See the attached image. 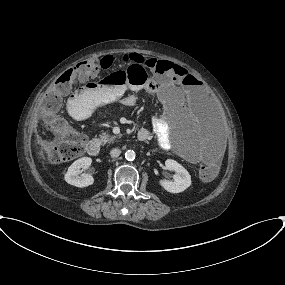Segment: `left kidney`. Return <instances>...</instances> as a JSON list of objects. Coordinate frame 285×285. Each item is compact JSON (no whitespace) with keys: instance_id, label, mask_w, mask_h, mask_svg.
<instances>
[{"instance_id":"5707ae66","label":"left kidney","mask_w":285,"mask_h":285,"mask_svg":"<svg viewBox=\"0 0 285 285\" xmlns=\"http://www.w3.org/2000/svg\"><path fill=\"white\" fill-rule=\"evenodd\" d=\"M165 166L169 171H175L173 175L174 181L165 179L159 180V184L170 193H180L186 190L191 185V176L188 171L177 161L167 159Z\"/></svg>"}]
</instances>
